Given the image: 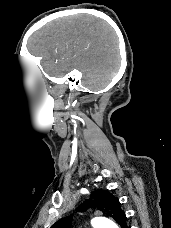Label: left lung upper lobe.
Listing matches in <instances>:
<instances>
[{
  "label": "left lung upper lobe",
  "instance_id": "obj_1",
  "mask_svg": "<svg viewBox=\"0 0 171 228\" xmlns=\"http://www.w3.org/2000/svg\"><path fill=\"white\" fill-rule=\"evenodd\" d=\"M91 198L94 199V206L98 210L102 211L106 216L113 218L120 226L125 225L126 215L120 208V202L109 191L96 190L92 192ZM90 203H92L91 200L86 201L77 208V211H85ZM71 221V217H65L53 224L51 228H70Z\"/></svg>",
  "mask_w": 171,
  "mask_h": 228
}]
</instances>
